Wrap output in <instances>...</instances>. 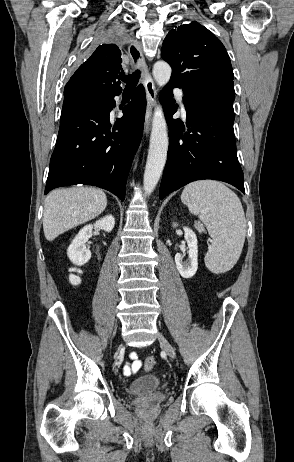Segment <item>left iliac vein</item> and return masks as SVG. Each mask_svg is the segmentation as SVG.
Masks as SVG:
<instances>
[{
  "instance_id": "4c4485c4",
  "label": "left iliac vein",
  "mask_w": 294,
  "mask_h": 462,
  "mask_svg": "<svg viewBox=\"0 0 294 462\" xmlns=\"http://www.w3.org/2000/svg\"><path fill=\"white\" fill-rule=\"evenodd\" d=\"M158 340L161 346L163 347V349L165 350V352L168 354V356L171 358H175L176 354H175L174 348L171 346L169 341L160 332L158 333Z\"/></svg>"
}]
</instances>
